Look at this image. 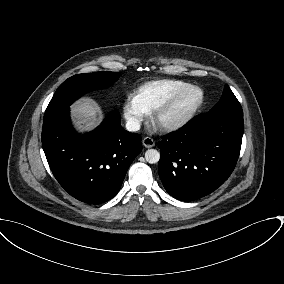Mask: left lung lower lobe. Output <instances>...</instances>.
I'll list each match as a JSON object with an SVG mask.
<instances>
[{
	"label": "left lung lower lobe",
	"instance_id": "0a47b994",
	"mask_svg": "<svg viewBox=\"0 0 284 284\" xmlns=\"http://www.w3.org/2000/svg\"><path fill=\"white\" fill-rule=\"evenodd\" d=\"M243 131V113L209 111L163 136L158 171L166 191L192 201L216 190L235 168Z\"/></svg>",
	"mask_w": 284,
	"mask_h": 284
}]
</instances>
